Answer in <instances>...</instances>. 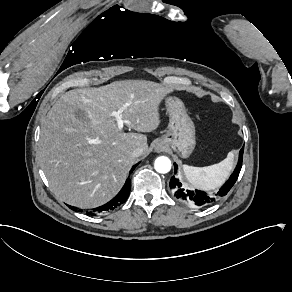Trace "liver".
<instances>
[{
    "instance_id": "liver-1",
    "label": "liver",
    "mask_w": 292,
    "mask_h": 292,
    "mask_svg": "<svg viewBox=\"0 0 292 292\" xmlns=\"http://www.w3.org/2000/svg\"><path fill=\"white\" fill-rule=\"evenodd\" d=\"M169 92L152 81L123 80L63 94L42 121L39 140L40 166L56 197L79 208L110 201L135 162L134 149L148 154L146 135L119 131L112 112L123 110L129 128L151 132L160 123L158 106ZM77 109L86 120L75 117Z\"/></svg>"
}]
</instances>
